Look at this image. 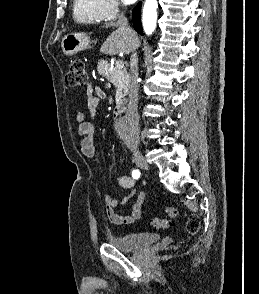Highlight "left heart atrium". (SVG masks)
<instances>
[{"label":"left heart atrium","mask_w":259,"mask_h":294,"mask_svg":"<svg viewBox=\"0 0 259 294\" xmlns=\"http://www.w3.org/2000/svg\"><path fill=\"white\" fill-rule=\"evenodd\" d=\"M125 4H132L136 2L137 0H122Z\"/></svg>","instance_id":"39dd6f15"}]
</instances>
